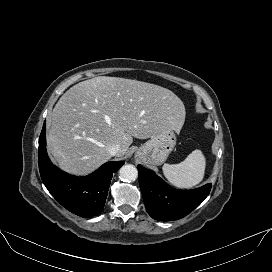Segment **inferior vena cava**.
Wrapping results in <instances>:
<instances>
[{"label": "inferior vena cava", "instance_id": "obj_1", "mask_svg": "<svg viewBox=\"0 0 272 272\" xmlns=\"http://www.w3.org/2000/svg\"><path fill=\"white\" fill-rule=\"evenodd\" d=\"M111 156H115L120 151V145L114 144L108 148Z\"/></svg>", "mask_w": 272, "mask_h": 272}]
</instances>
